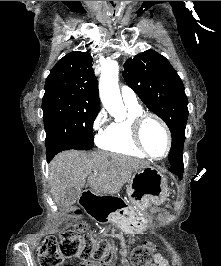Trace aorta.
<instances>
[{
    "label": "aorta",
    "instance_id": "762f6f07",
    "mask_svg": "<svg viewBox=\"0 0 221 266\" xmlns=\"http://www.w3.org/2000/svg\"><path fill=\"white\" fill-rule=\"evenodd\" d=\"M119 66L117 61H107L101 69L99 82L100 98L105 109L115 117L123 119L125 108L118 86Z\"/></svg>",
    "mask_w": 221,
    "mask_h": 266
}]
</instances>
